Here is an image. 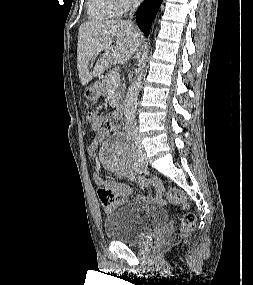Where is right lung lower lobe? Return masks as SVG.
<instances>
[{"label": "right lung lower lobe", "instance_id": "1", "mask_svg": "<svg viewBox=\"0 0 253 285\" xmlns=\"http://www.w3.org/2000/svg\"><path fill=\"white\" fill-rule=\"evenodd\" d=\"M162 0H146L141 4L136 13V21L139 28L148 34L152 21L154 20Z\"/></svg>", "mask_w": 253, "mask_h": 285}]
</instances>
